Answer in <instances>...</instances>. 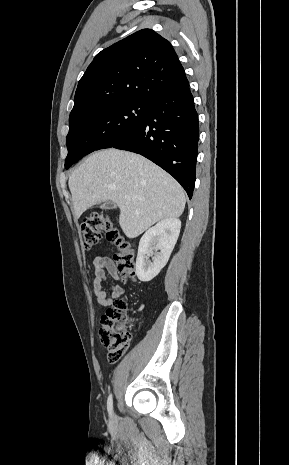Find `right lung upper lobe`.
Instances as JSON below:
<instances>
[{"label":"right lung upper lobe","instance_id":"obj_1","mask_svg":"<svg viewBox=\"0 0 289 465\" xmlns=\"http://www.w3.org/2000/svg\"><path fill=\"white\" fill-rule=\"evenodd\" d=\"M189 86L172 45L143 29L98 53L78 83L70 128L93 106L148 100Z\"/></svg>","mask_w":289,"mask_h":465}]
</instances>
